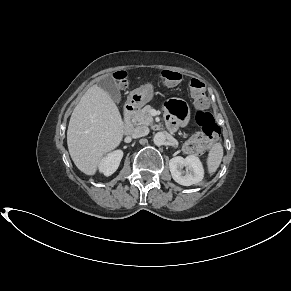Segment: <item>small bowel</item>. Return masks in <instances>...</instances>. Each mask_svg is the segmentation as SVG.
<instances>
[{
	"label": "small bowel",
	"instance_id": "c3829d8e",
	"mask_svg": "<svg viewBox=\"0 0 291 291\" xmlns=\"http://www.w3.org/2000/svg\"><path fill=\"white\" fill-rule=\"evenodd\" d=\"M167 125L170 129L174 130L179 126V123L176 121L175 116H183L185 114V105L183 102L176 101V108L170 106V102L167 105Z\"/></svg>",
	"mask_w": 291,
	"mask_h": 291
}]
</instances>
